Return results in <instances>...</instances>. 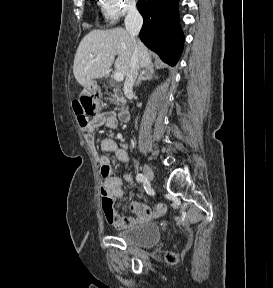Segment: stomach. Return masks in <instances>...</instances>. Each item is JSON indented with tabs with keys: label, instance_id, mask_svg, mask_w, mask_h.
I'll return each mask as SVG.
<instances>
[{
	"label": "stomach",
	"instance_id": "stomach-1",
	"mask_svg": "<svg viewBox=\"0 0 273 288\" xmlns=\"http://www.w3.org/2000/svg\"><path fill=\"white\" fill-rule=\"evenodd\" d=\"M89 88L93 89V90L96 89L97 88V83L92 81L91 84L89 85Z\"/></svg>",
	"mask_w": 273,
	"mask_h": 288
}]
</instances>
